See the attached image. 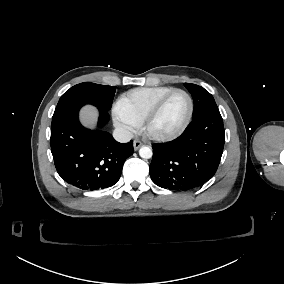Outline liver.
Here are the masks:
<instances>
[{
    "label": "liver",
    "mask_w": 284,
    "mask_h": 284,
    "mask_svg": "<svg viewBox=\"0 0 284 284\" xmlns=\"http://www.w3.org/2000/svg\"><path fill=\"white\" fill-rule=\"evenodd\" d=\"M83 118L87 124L92 125L95 120V113L92 110L87 109L83 113Z\"/></svg>",
    "instance_id": "obj_1"
}]
</instances>
